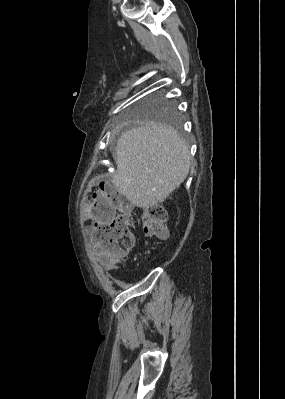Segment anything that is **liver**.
<instances>
[{"label":"liver","mask_w":285,"mask_h":399,"mask_svg":"<svg viewBox=\"0 0 285 399\" xmlns=\"http://www.w3.org/2000/svg\"><path fill=\"white\" fill-rule=\"evenodd\" d=\"M114 159V187L140 208L162 203L184 182L191 162L189 147L179 135L154 122L123 132Z\"/></svg>","instance_id":"liver-1"}]
</instances>
